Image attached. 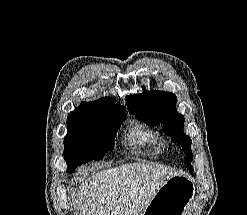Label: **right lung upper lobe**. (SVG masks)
<instances>
[{"instance_id": "obj_1", "label": "right lung upper lobe", "mask_w": 247, "mask_h": 215, "mask_svg": "<svg viewBox=\"0 0 247 215\" xmlns=\"http://www.w3.org/2000/svg\"><path fill=\"white\" fill-rule=\"evenodd\" d=\"M80 107L89 111L107 114L125 113V107L120 104H115V101L110 97H104L95 102L82 103Z\"/></svg>"}]
</instances>
